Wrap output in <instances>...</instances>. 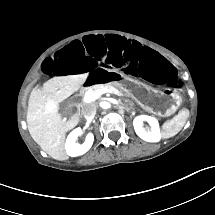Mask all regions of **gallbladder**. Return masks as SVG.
<instances>
[{"instance_id":"1","label":"gallbladder","mask_w":215,"mask_h":215,"mask_svg":"<svg viewBox=\"0 0 215 215\" xmlns=\"http://www.w3.org/2000/svg\"><path fill=\"white\" fill-rule=\"evenodd\" d=\"M60 109L62 110L63 114L66 116H72L76 114V105L75 104L68 105L66 101H63L61 103Z\"/></svg>"}]
</instances>
